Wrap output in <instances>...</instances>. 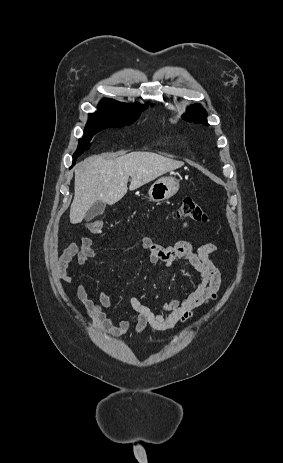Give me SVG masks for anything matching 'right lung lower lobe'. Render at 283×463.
I'll return each instance as SVG.
<instances>
[{"label": "right lung lower lobe", "mask_w": 283, "mask_h": 463, "mask_svg": "<svg viewBox=\"0 0 283 463\" xmlns=\"http://www.w3.org/2000/svg\"><path fill=\"white\" fill-rule=\"evenodd\" d=\"M76 158H77V157L73 158V164H75V162H76Z\"/></svg>", "instance_id": "98d812e1"}]
</instances>
